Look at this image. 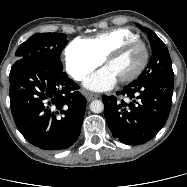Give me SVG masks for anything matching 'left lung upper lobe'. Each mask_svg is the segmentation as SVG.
Listing matches in <instances>:
<instances>
[{
	"instance_id": "1",
	"label": "left lung upper lobe",
	"mask_w": 187,
	"mask_h": 187,
	"mask_svg": "<svg viewBox=\"0 0 187 187\" xmlns=\"http://www.w3.org/2000/svg\"><path fill=\"white\" fill-rule=\"evenodd\" d=\"M138 26L144 30L140 25ZM145 31L151 43L152 56L146 69L129 85H138L154 80L173 79L174 77L171 58L166 45L152 30L146 28Z\"/></svg>"
}]
</instances>
